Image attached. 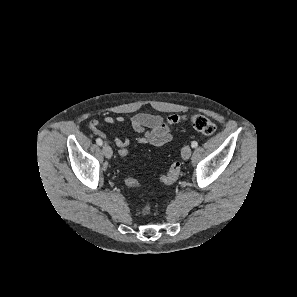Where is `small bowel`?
Wrapping results in <instances>:
<instances>
[{
  "instance_id": "1",
  "label": "small bowel",
  "mask_w": 297,
  "mask_h": 297,
  "mask_svg": "<svg viewBox=\"0 0 297 297\" xmlns=\"http://www.w3.org/2000/svg\"><path fill=\"white\" fill-rule=\"evenodd\" d=\"M125 122L122 116H105L103 119L104 124H122ZM130 125L132 129L139 134L137 142L140 144H150L155 147H160L173 138L172 130L168 124L164 121L163 117L159 115L138 113L130 118ZM103 124L98 120H92L89 123V129L91 132L103 139H106L105 133L101 130ZM115 144L118 148L130 145L129 138H114Z\"/></svg>"
}]
</instances>
